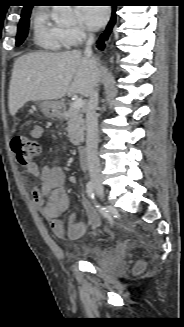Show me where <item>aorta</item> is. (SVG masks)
I'll list each match as a JSON object with an SVG mask.
<instances>
[{
	"instance_id": "762f6f07",
	"label": "aorta",
	"mask_w": 184,
	"mask_h": 327,
	"mask_svg": "<svg viewBox=\"0 0 184 327\" xmlns=\"http://www.w3.org/2000/svg\"><path fill=\"white\" fill-rule=\"evenodd\" d=\"M65 16L72 17V14H71V13H68V14H66Z\"/></svg>"
}]
</instances>
